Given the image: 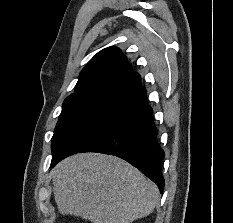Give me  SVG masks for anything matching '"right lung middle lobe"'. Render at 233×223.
Listing matches in <instances>:
<instances>
[{"label":"right lung middle lobe","mask_w":233,"mask_h":223,"mask_svg":"<svg viewBox=\"0 0 233 223\" xmlns=\"http://www.w3.org/2000/svg\"><path fill=\"white\" fill-rule=\"evenodd\" d=\"M120 92H93L69 96L52 138V152L73 154L103 131L123 111Z\"/></svg>","instance_id":"1"}]
</instances>
